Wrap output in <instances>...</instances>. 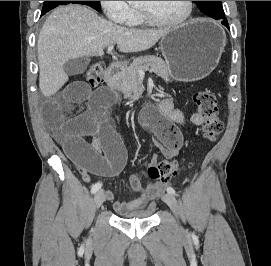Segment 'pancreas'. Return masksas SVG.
<instances>
[{
    "mask_svg": "<svg viewBox=\"0 0 271 266\" xmlns=\"http://www.w3.org/2000/svg\"><path fill=\"white\" fill-rule=\"evenodd\" d=\"M168 69L167 63L160 57L148 55L137 58L126 68L125 75L120 83V90L127 98H137L144 90L139 76L140 70L154 72L166 78L168 77Z\"/></svg>",
    "mask_w": 271,
    "mask_h": 266,
    "instance_id": "cf45deb5",
    "label": "pancreas"
}]
</instances>
